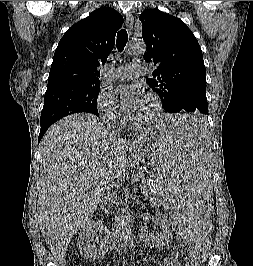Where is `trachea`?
<instances>
[{"label":"trachea","instance_id":"1","mask_svg":"<svg viewBox=\"0 0 253 266\" xmlns=\"http://www.w3.org/2000/svg\"><path fill=\"white\" fill-rule=\"evenodd\" d=\"M128 41V34L125 29H121L117 34V49L119 52H122L127 44Z\"/></svg>","mask_w":253,"mask_h":266}]
</instances>
